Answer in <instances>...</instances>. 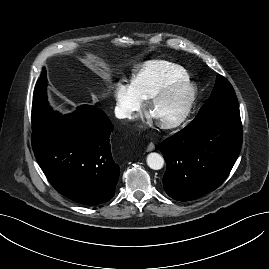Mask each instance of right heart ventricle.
I'll use <instances>...</instances> for the list:
<instances>
[{"label": "right heart ventricle", "mask_w": 269, "mask_h": 269, "mask_svg": "<svg viewBox=\"0 0 269 269\" xmlns=\"http://www.w3.org/2000/svg\"><path fill=\"white\" fill-rule=\"evenodd\" d=\"M188 80L184 68L166 61H149L143 65L132 85L143 100H149L162 89Z\"/></svg>", "instance_id": "obj_1"}]
</instances>
